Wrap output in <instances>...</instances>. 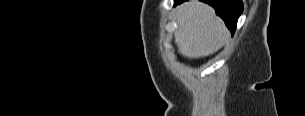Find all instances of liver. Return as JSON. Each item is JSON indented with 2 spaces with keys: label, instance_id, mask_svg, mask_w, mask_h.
<instances>
[{
  "label": "liver",
  "instance_id": "liver-1",
  "mask_svg": "<svg viewBox=\"0 0 305 116\" xmlns=\"http://www.w3.org/2000/svg\"><path fill=\"white\" fill-rule=\"evenodd\" d=\"M177 22L175 42L179 52L187 58L217 52L230 36L214 9L198 0H189L177 7Z\"/></svg>",
  "mask_w": 305,
  "mask_h": 116
}]
</instances>
